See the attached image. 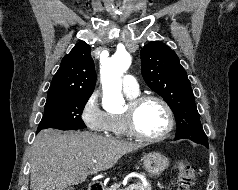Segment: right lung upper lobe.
<instances>
[{"mask_svg":"<svg viewBox=\"0 0 238 190\" xmlns=\"http://www.w3.org/2000/svg\"><path fill=\"white\" fill-rule=\"evenodd\" d=\"M96 82L95 67L90 55V46L78 42L64 56L60 68L52 79L47 99L70 95H89Z\"/></svg>","mask_w":238,"mask_h":190,"instance_id":"obj_1","label":"right lung upper lobe"}]
</instances>
